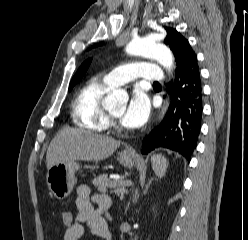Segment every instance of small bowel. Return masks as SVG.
<instances>
[{
  "instance_id": "1",
  "label": "small bowel",
  "mask_w": 248,
  "mask_h": 240,
  "mask_svg": "<svg viewBox=\"0 0 248 240\" xmlns=\"http://www.w3.org/2000/svg\"><path fill=\"white\" fill-rule=\"evenodd\" d=\"M77 214L73 222L65 228L62 240H80L86 223L95 233L96 225L104 221L102 213L109 209L111 201L106 194H93L90 187L80 185L76 189Z\"/></svg>"
}]
</instances>
